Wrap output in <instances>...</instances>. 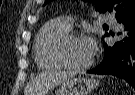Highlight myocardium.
Returning <instances> with one entry per match:
<instances>
[{"label": "myocardium", "mask_w": 135, "mask_h": 95, "mask_svg": "<svg viewBox=\"0 0 135 95\" xmlns=\"http://www.w3.org/2000/svg\"><path fill=\"white\" fill-rule=\"evenodd\" d=\"M75 38H82V35L79 32L69 31L65 35H63L58 41L55 49L56 57L62 66L73 69V70H81L86 69L92 65L93 59L91 58L88 62L83 64H73L67 58L65 54L66 45Z\"/></svg>", "instance_id": "myocardium-1"}]
</instances>
